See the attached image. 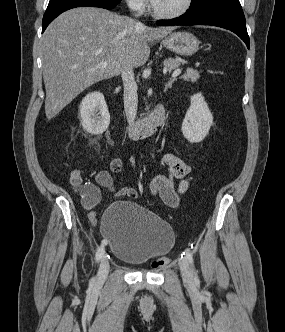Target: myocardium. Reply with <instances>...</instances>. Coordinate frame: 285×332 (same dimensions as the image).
Returning <instances> with one entry per match:
<instances>
[{
	"mask_svg": "<svg viewBox=\"0 0 285 332\" xmlns=\"http://www.w3.org/2000/svg\"><path fill=\"white\" fill-rule=\"evenodd\" d=\"M193 4V0H185L184 5L177 11L172 12V13H163L158 11L155 6H152V14L154 17L158 19H164V20H172V19H177L184 14H186L189 9L191 8Z\"/></svg>",
	"mask_w": 285,
	"mask_h": 332,
	"instance_id": "1",
	"label": "myocardium"
}]
</instances>
